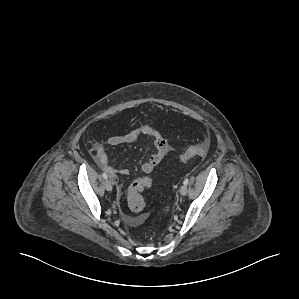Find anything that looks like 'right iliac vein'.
I'll return each mask as SVG.
<instances>
[{"label":"right iliac vein","mask_w":299,"mask_h":299,"mask_svg":"<svg viewBox=\"0 0 299 299\" xmlns=\"http://www.w3.org/2000/svg\"><path fill=\"white\" fill-rule=\"evenodd\" d=\"M105 188L107 191H111L113 186H112V182L110 180H106L105 181Z\"/></svg>","instance_id":"obj_1"}]
</instances>
